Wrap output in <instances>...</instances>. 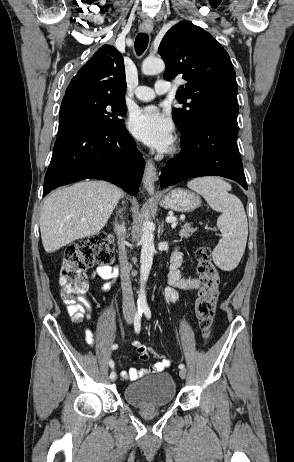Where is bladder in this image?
Returning a JSON list of instances; mask_svg holds the SVG:
<instances>
[{"instance_id":"31cf9c89","label":"bladder","mask_w":294,"mask_h":462,"mask_svg":"<svg viewBox=\"0 0 294 462\" xmlns=\"http://www.w3.org/2000/svg\"><path fill=\"white\" fill-rule=\"evenodd\" d=\"M123 396L135 407H164L175 399L176 384L169 373L158 372L127 385Z\"/></svg>"}]
</instances>
